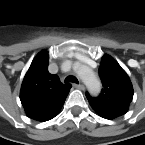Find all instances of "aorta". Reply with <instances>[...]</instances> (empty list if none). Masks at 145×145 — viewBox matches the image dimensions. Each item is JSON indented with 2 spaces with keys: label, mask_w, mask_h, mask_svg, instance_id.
I'll return each mask as SVG.
<instances>
[{
  "label": "aorta",
  "mask_w": 145,
  "mask_h": 145,
  "mask_svg": "<svg viewBox=\"0 0 145 145\" xmlns=\"http://www.w3.org/2000/svg\"><path fill=\"white\" fill-rule=\"evenodd\" d=\"M78 74L84 84L88 87L91 93H98L101 89V84L96 74L92 71V69L83 66L78 71Z\"/></svg>",
  "instance_id": "aorta-1"
}]
</instances>
